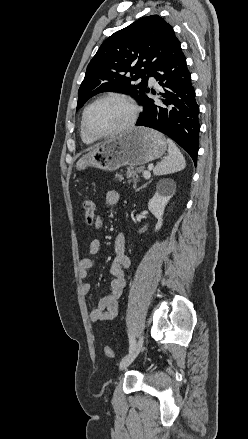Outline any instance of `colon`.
<instances>
[{
  "mask_svg": "<svg viewBox=\"0 0 248 439\" xmlns=\"http://www.w3.org/2000/svg\"><path fill=\"white\" fill-rule=\"evenodd\" d=\"M83 214L85 222L89 225H92L95 221V204L94 201L90 197H86L83 202ZM104 354L110 358H115L114 351L107 345L103 347Z\"/></svg>",
  "mask_w": 248,
  "mask_h": 439,
  "instance_id": "1",
  "label": "colon"
}]
</instances>
